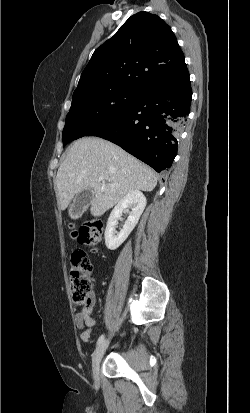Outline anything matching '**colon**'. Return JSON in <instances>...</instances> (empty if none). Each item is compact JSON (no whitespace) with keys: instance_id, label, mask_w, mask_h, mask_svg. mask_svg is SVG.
<instances>
[{"instance_id":"5ec220e1","label":"colon","mask_w":250,"mask_h":413,"mask_svg":"<svg viewBox=\"0 0 250 413\" xmlns=\"http://www.w3.org/2000/svg\"><path fill=\"white\" fill-rule=\"evenodd\" d=\"M70 236L82 245L95 249L102 239L103 226L98 220H89L79 229L70 226ZM70 289L73 301L84 307L94 301V278L92 265L82 250H75L71 255Z\"/></svg>"}]
</instances>
